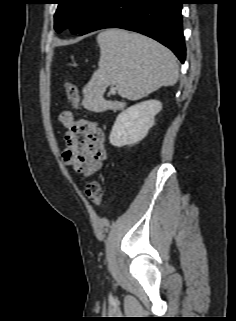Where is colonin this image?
<instances>
[{"instance_id": "colon-1", "label": "colon", "mask_w": 236, "mask_h": 321, "mask_svg": "<svg viewBox=\"0 0 236 321\" xmlns=\"http://www.w3.org/2000/svg\"><path fill=\"white\" fill-rule=\"evenodd\" d=\"M63 89L66 96L73 107L77 108L79 105V92L76 84L70 81L63 83ZM85 193L88 200L95 206L99 207L103 201V188L97 179H90L86 183Z\"/></svg>"}]
</instances>
